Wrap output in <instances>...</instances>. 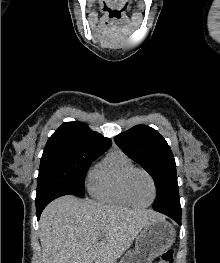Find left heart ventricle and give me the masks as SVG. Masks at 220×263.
<instances>
[{"label":"left heart ventricle","mask_w":220,"mask_h":263,"mask_svg":"<svg viewBox=\"0 0 220 263\" xmlns=\"http://www.w3.org/2000/svg\"><path fill=\"white\" fill-rule=\"evenodd\" d=\"M130 193L138 204H146L152 198V186L146 175L136 173L130 181Z\"/></svg>","instance_id":"1"}]
</instances>
